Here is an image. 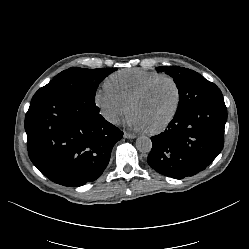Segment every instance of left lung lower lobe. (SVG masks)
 Returning a JSON list of instances; mask_svg holds the SVG:
<instances>
[{
  "instance_id": "1",
  "label": "left lung lower lobe",
  "mask_w": 249,
  "mask_h": 249,
  "mask_svg": "<svg viewBox=\"0 0 249 249\" xmlns=\"http://www.w3.org/2000/svg\"><path fill=\"white\" fill-rule=\"evenodd\" d=\"M226 120L224 100L200 104L175 115L164 132L151 137L148 164L175 179L204 170L224 146Z\"/></svg>"
}]
</instances>
